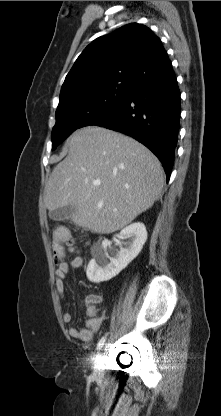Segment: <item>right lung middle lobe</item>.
Instances as JSON below:
<instances>
[{
	"label": "right lung middle lobe",
	"mask_w": 221,
	"mask_h": 416,
	"mask_svg": "<svg viewBox=\"0 0 221 416\" xmlns=\"http://www.w3.org/2000/svg\"><path fill=\"white\" fill-rule=\"evenodd\" d=\"M131 91L125 88H110L58 105L56 124L52 130V150L76 129L109 117Z\"/></svg>",
	"instance_id": "1"
}]
</instances>
